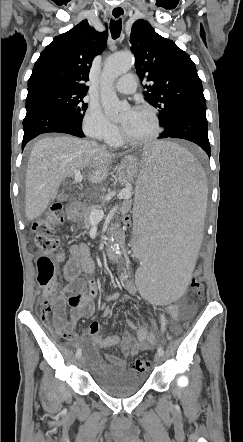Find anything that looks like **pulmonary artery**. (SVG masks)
Here are the masks:
<instances>
[{
	"label": "pulmonary artery",
	"mask_w": 243,
	"mask_h": 442,
	"mask_svg": "<svg viewBox=\"0 0 243 442\" xmlns=\"http://www.w3.org/2000/svg\"><path fill=\"white\" fill-rule=\"evenodd\" d=\"M137 79L133 73L123 75L115 84V89L122 94H131L136 90Z\"/></svg>",
	"instance_id": "obj_1"
}]
</instances>
